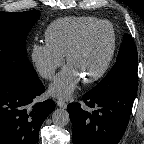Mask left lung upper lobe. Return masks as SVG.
Here are the masks:
<instances>
[{
  "label": "left lung upper lobe",
  "mask_w": 144,
  "mask_h": 144,
  "mask_svg": "<svg viewBox=\"0 0 144 144\" xmlns=\"http://www.w3.org/2000/svg\"><path fill=\"white\" fill-rule=\"evenodd\" d=\"M137 82V49L132 36L125 34L116 64L93 90L131 89Z\"/></svg>",
  "instance_id": "5c2ea615"
}]
</instances>
